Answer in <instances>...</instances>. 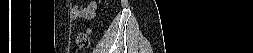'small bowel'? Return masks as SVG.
<instances>
[{
	"label": "small bowel",
	"instance_id": "obj_1",
	"mask_svg": "<svg viewBox=\"0 0 253 53\" xmlns=\"http://www.w3.org/2000/svg\"><path fill=\"white\" fill-rule=\"evenodd\" d=\"M97 3L91 1L88 5L76 4L71 11L72 17L74 19H91L96 11Z\"/></svg>",
	"mask_w": 253,
	"mask_h": 53
}]
</instances>
